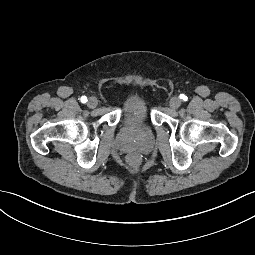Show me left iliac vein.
<instances>
[{
    "mask_svg": "<svg viewBox=\"0 0 255 255\" xmlns=\"http://www.w3.org/2000/svg\"><path fill=\"white\" fill-rule=\"evenodd\" d=\"M169 104L171 108L178 109L181 106V100L178 97H172Z\"/></svg>",
    "mask_w": 255,
    "mask_h": 255,
    "instance_id": "1",
    "label": "left iliac vein"
}]
</instances>
